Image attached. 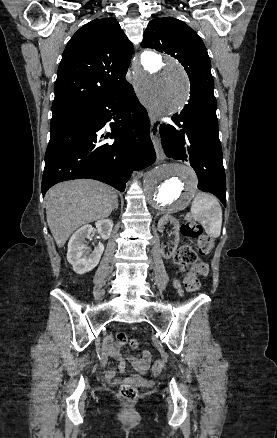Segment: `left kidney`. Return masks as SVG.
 Here are the masks:
<instances>
[{
    "label": "left kidney",
    "instance_id": "left-kidney-1",
    "mask_svg": "<svg viewBox=\"0 0 277 438\" xmlns=\"http://www.w3.org/2000/svg\"><path fill=\"white\" fill-rule=\"evenodd\" d=\"M165 222H172L175 230L173 232V234H175V242H174V248H173V252H175V250H177V246L179 244V222L178 220H175V218H172V216H170V214H164V216H162V218H160L159 222H158V226H157V230L158 232H163L164 230V224ZM163 258H165V260H169V258H171L172 254H170V256H166V254H162Z\"/></svg>",
    "mask_w": 277,
    "mask_h": 438
}]
</instances>
